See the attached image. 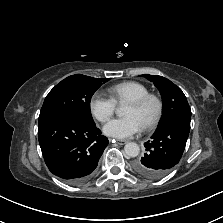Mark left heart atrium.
I'll return each mask as SVG.
<instances>
[{
  "instance_id": "obj_1",
  "label": "left heart atrium",
  "mask_w": 223,
  "mask_h": 223,
  "mask_svg": "<svg viewBox=\"0 0 223 223\" xmlns=\"http://www.w3.org/2000/svg\"><path fill=\"white\" fill-rule=\"evenodd\" d=\"M141 129L140 123L133 116H125L109 121L103 128L106 135L117 139H126Z\"/></svg>"
}]
</instances>
